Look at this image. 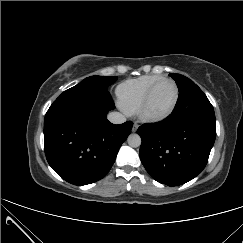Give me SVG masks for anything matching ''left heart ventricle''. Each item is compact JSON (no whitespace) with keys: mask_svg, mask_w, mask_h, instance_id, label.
I'll return each instance as SVG.
<instances>
[{"mask_svg":"<svg viewBox=\"0 0 243 243\" xmlns=\"http://www.w3.org/2000/svg\"><path fill=\"white\" fill-rule=\"evenodd\" d=\"M175 98V87L170 82L161 84L152 95L148 105V111L151 114H162L172 105Z\"/></svg>","mask_w":243,"mask_h":243,"instance_id":"1","label":"left heart ventricle"}]
</instances>
